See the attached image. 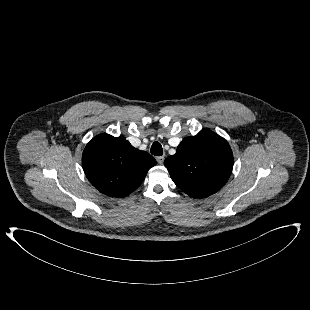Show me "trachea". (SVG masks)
I'll use <instances>...</instances> for the list:
<instances>
[{
    "label": "trachea",
    "instance_id": "obj_1",
    "mask_svg": "<svg viewBox=\"0 0 310 310\" xmlns=\"http://www.w3.org/2000/svg\"><path fill=\"white\" fill-rule=\"evenodd\" d=\"M151 153L155 156H161L163 154V148L159 142H154L152 144Z\"/></svg>",
    "mask_w": 310,
    "mask_h": 310
}]
</instances>
